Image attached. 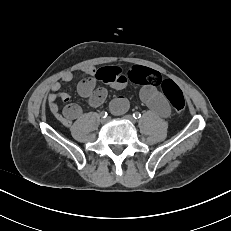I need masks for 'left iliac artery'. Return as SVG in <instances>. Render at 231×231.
<instances>
[{
	"mask_svg": "<svg viewBox=\"0 0 231 231\" xmlns=\"http://www.w3.org/2000/svg\"><path fill=\"white\" fill-rule=\"evenodd\" d=\"M133 117L135 119H139V118H141V114L139 112H135V113H133Z\"/></svg>",
	"mask_w": 231,
	"mask_h": 231,
	"instance_id": "left-iliac-artery-1",
	"label": "left iliac artery"
}]
</instances>
